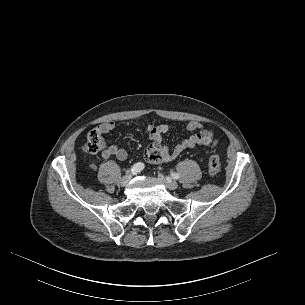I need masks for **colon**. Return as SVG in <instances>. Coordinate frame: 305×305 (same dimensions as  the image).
Masks as SVG:
<instances>
[{
    "mask_svg": "<svg viewBox=\"0 0 305 305\" xmlns=\"http://www.w3.org/2000/svg\"><path fill=\"white\" fill-rule=\"evenodd\" d=\"M105 141L98 130H92L87 135L84 150L90 154H96L104 150ZM208 171L211 175H217L220 171V159L218 154H211L208 162Z\"/></svg>",
    "mask_w": 305,
    "mask_h": 305,
    "instance_id": "5ec220e1",
    "label": "colon"
}]
</instances>
